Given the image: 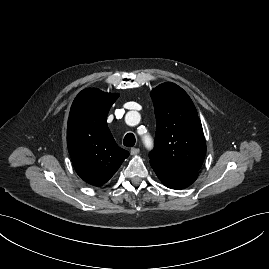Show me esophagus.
Returning a JSON list of instances; mask_svg holds the SVG:
<instances>
[{
  "label": "esophagus",
  "instance_id": "1",
  "mask_svg": "<svg viewBox=\"0 0 269 269\" xmlns=\"http://www.w3.org/2000/svg\"><path fill=\"white\" fill-rule=\"evenodd\" d=\"M139 152H140L139 148H132L130 150L131 155H137L139 154Z\"/></svg>",
  "mask_w": 269,
  "mask_h": 269
}]
</instances>
